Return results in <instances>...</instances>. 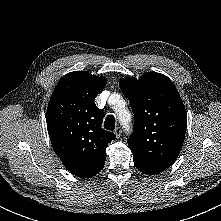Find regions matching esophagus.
Listing matches in <instances>:
<instances>
[{
  "label": "esophagus",
  "mask_w": 221,
  "mask_h": 221,
  "mask_svg": "<svg viewBox=\"0 0 221 221\" xmlns=\"http://www.w3.org/2000/svg\"><path fill=\"white\" fill-rule=\"evenodd\" d=\"M114 133L116 135L117 138H120L121 136V133H122V130L120 127H117L115 130H114Z\"/></svg>",
  "instance_id": "34e87169"
}]
</instances>
